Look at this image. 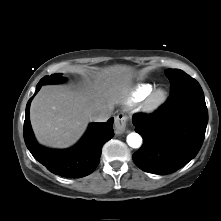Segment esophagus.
<instances>
[{
    "instance_id": "34e87169",
    "label": "esophagus",
    "mask_w": 221,
    "mask_h": 221,
    "mask_svg": "<svg viewBox=\"0 0 221 221\" xmlns=\"http://www.w3.org/2000/svg\"><path fill=\"white\" fill-rule=\"evenodd\" d=\"M127 121H128V118L123 113H120L115 117L114 127H115L116 134H121L125 131L126 126H127Z\"/></svg>"
}]
</instances>
